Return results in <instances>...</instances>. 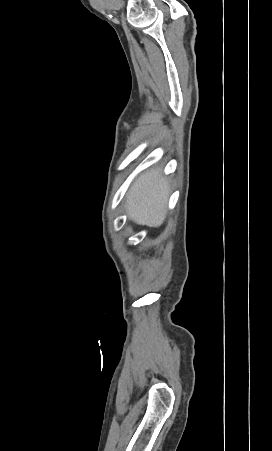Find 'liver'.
<instances>
[{
  "label": "liver",
  "instance_id": "1",
  "mask_svg": "<svg viewBox=\"0 0 272 451\" xmlns=\"http://www.w3.org/2000/svg\"><path fill=\"white\" fill-rule=\"evenodd\" d=\"M161 170H149L135 180L126 196L129 220L140 226L158 227L165 220L169 198V182L160 176Z\"/></svg>",
  "mask_w": 272,
  "mask_h": 451
}]
</instances>
